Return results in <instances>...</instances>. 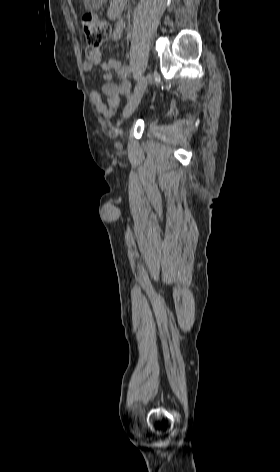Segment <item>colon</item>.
Listing matches in <instances>:
<instances>
[{"mask_svg":"<svg viewBox=\"0 0 280 472\" xmlns=\"http://www.w3.org/2000/svg\"><path fill=\"white\" fill-rule=\"evenodd\" d=\"M81 25L86 37L87 56L98 51L100 45L109 37L110 26L91 12L82 15Z\"/></svg>","mask_w":280,"mask_h":472,"instance_id":"obj_1","label":"colon"}]
</instances>
